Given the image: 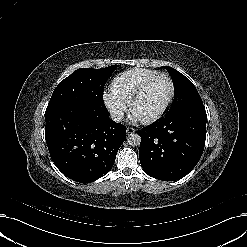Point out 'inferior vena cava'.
I'll list each match as a JSON object with an SVG mask.
<instances>
[{
  "label": "inferior vena cava",
  "mask_w": 247,
  "mask_h": 247,
  "mask_svg": "<svg viewBox=\"0 0 247 247\" xmlns=\"http://www.w3.org/2000/svg\"><path fill=\"white\" fill-rule=\"evenodd\" d=\"M109 113H110V118L115 122H120L124 117V113L118 109H111Z\"/></svg>",
  "instance_id": "602c4592"
}]
</instances>
